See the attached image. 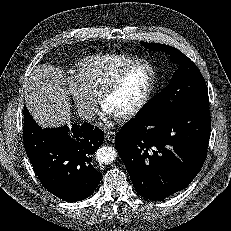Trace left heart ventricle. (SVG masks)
<instances>
[{"label":"left heart ventricle","instance_id":"b2bd125f","mask_svg":"<svg viewBox=\"0 0 231 231\" xmlns=\"http://www.w3.org/2000/svg\"><path fill=\"white\" fill-rule=\"evenodd\" d=\"M151 70L141 64L132 69L120 86L108 96L104 107L114 116L134 107L145 94L151 82Z\"/></svg>","mask_w":231,"mask_h":231}]
</instances>
